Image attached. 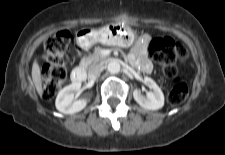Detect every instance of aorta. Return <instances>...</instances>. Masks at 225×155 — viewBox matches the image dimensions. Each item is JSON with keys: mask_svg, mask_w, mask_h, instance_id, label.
Returning a JSON list of instances; mask_svg holds the SVG:
<instances>
[{"mask_svg": "<svg viewBox=\"0 0 225 155\" xmlns=\"http://www.w3.org/2000/svg\"><path fill=\"white\" fill-rule=\"evenodd\" d=\"M107 70L112 74H117L121 70V65L117 60H112L108 63Z\"/></svg>", "mask_w": 225, "mask_h": 155, "instance_id": "1", "label": "aorta"}]
</instances>
